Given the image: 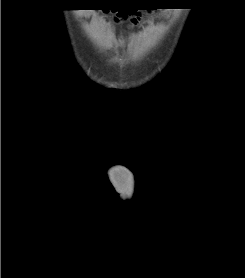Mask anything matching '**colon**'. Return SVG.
Here are the masks:
<instances>
[{
    "label": "colon",
    "instance_id": "5ec220e1",
    "mask_svg": "<svg viewBox=\"0 0 245 278\" xmlns=\"http://www.w3.org/2000/svg\"><path fill=\"white\" fill-rule=\"evenodd\" d=\"M133 21L136 22V21H137V17H135V18L133 19Z\"/></svg>",
    "mask_w": 245,
    "mask_h": 278
}]
</instances>
